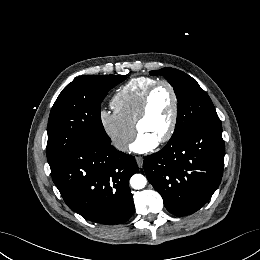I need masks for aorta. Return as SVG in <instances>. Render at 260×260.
<instances>
[{
	"instance_id": "762f6f07",
	"label": "aorta",
	"mask_w": 260,
	"mask_h": 260,
	"mask_svg": "<svg viewBox=\"0 0 260 260\" xmlns=\"http://www.w3.org/2000/svg\"><path fill=\"white\" fill-rule=\"evenodd\" d=\"M147 179L142 174H134L130 179V185L133 189H142L146 186Z\"/></svg>"
}]
</instances>
